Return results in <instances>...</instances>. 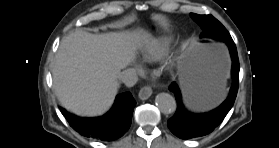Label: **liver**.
<instances>
[{
    "label": "liver",
    "instance_id": "1",
    "mask_svg": "<svg viewBox=\"0 0 279 148\" xmlns=\"http://www.w3.org/2000/svg\"><path fill=\"white\" fill-rule=\"evenodd\" d=\"M145 32L91 34L82 30L64 37L52 65L53 86L60 103L82 116H96L112 105L118 75L130 64ZM186 76H181V84Z\"/></svg>",
    "mask_w": 279,
    "mask_h": 148
}]
</instances>
